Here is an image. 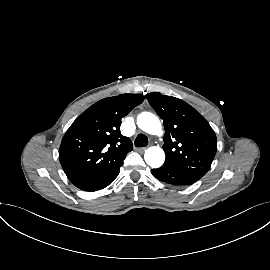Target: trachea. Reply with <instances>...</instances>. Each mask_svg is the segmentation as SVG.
<instances>
[{"label":"trachea","instance_id":"trachea-1","mask_svg":"<svg viewBox=\"0 0 270 270\" xmlns=\"http://www.w3.org/2000/svg\"><path fill=\"white\" fill-rule=\"evenodd\" d=\"M148 145V138L144 134H139L135 139L136 147H146Z\"/></svg>","mask_w":270,"mask_h":270}]
</instances>
